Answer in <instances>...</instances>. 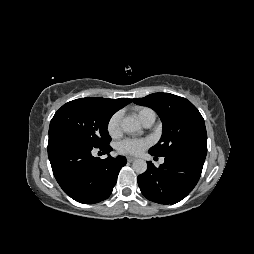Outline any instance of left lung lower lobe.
Instances as JSON below:
<instances>
[{"label": "left lung lower lobe", "instance_id": "0a47b994", "mask_svg": "<svg viewBox=\"0 0 254 254\" xmlns=\"http://www.w3.org/2000/svg\"><path fill=\"white\" fill-rule=\"evenodd\" d=\"M205 157L192 152L172 154L165 156V162L159 168L148 162L147 171L138 176L142 194L160 204L181 201L197 184Z\"/></svg>", "mask_w": 254, "mask_h": 254}]
</instances>
